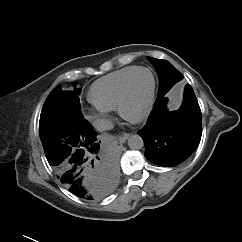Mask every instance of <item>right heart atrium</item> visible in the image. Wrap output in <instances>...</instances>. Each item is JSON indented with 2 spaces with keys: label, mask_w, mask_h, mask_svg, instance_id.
I'll return each instance as SVG.
<instances>
[{
  "label": "right heart atrium",
  "mask_w": 242,
  "mask_h": 242,
  "mask_svg": "<svg viewBox=\"0 0 242 242\" xmlns=\"http://www.w3.org/2000/svg\"><path fill=\"white\" fill-rule=\"evenodd\" d=\"M88 116L96 121H99L100 124L103 126L109 119V110H102V109H89Z\"/></svg>",
  "instance_id": "1"
}]
</instances>
